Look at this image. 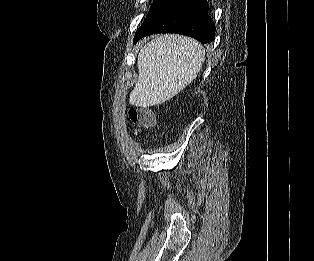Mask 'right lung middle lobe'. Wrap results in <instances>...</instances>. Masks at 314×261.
I'll list each match as a JSON object with an SVG mask.
<instances>
[{"label": "right lung middle lobe", "instance_id": "dd1d6c3e", "mask_svg": "<svg viewBox=\"0 0 314 261\" xmlns=\"http://www.w3.org/2000/svg\"><path fill=\"white\" fill-rule=\"evenodd\" d=\"M175 0H154L150 11L143 22L146 23L147 21L154 18L156 15H158L161 11H163L165 8H167L171 3H173Z\"/></svg>", "mask_w": 314, "mask_h": 261}]
</instances>
